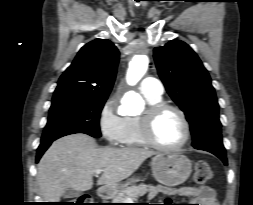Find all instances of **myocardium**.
I'll return each instance as SVG.
<instances>
[{
	"label": "myocardium",
	"instance_id": "f54148a6",
	"mask_svg": "<svg viewBox=\"0 0 253 205\" xmlns=\"http://www.w3.org/2000/svg\"><path fill=\"white\" fill-rule=\"evenodd\" d=\"M166 111H174L181 118L185 127V137L177 145L166 146L159 143L155 137L154 128L158 118ZM141 135L146 144L154 149L161 151H176L183 148L191 138V125L185 112L173 104L166 102L150 105L145 112L140 116Z\"/></svg>",
	"mask_w": 253,
	"mask_h": 205
}]
</instances>
